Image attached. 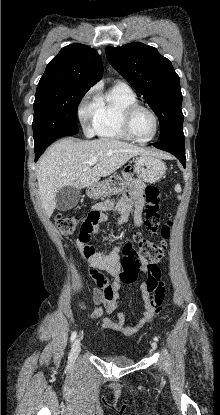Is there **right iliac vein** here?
Masks as SVG:
<instances>
[{"label":"right iliac vein","instance_id":"1","mask_svg":"<svg viewBox=\"0 0 220 415\" xmlns=\"http://www.w3.org/2000/svg\"><path fill=\"white\" fill-rule=\"evenodd\" d=\"M81 351V341L80 338L75 339L72 349H71V358L75 359Z\"/></svg>","mask_w":220,"mask_h":415}]
</instances>
